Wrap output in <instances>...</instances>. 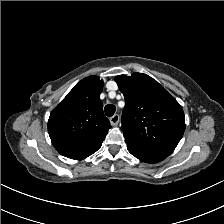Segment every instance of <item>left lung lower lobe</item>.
<instances>
[{"label": "left lung lower lobe", "instance_id": "obj_1", "mask_svg": "<svg viewBox=\"0 0 224 224\" xmlns=\"http://www.w3.org/2000/svg\"><path fill=\"white\" fill-rule=\"evenodd\" d=\"M128 151L142 162L157 163L168 155L127 143Z\"/></svg>", "mask_w": 224, "mask_h": 224}]
</instances>
